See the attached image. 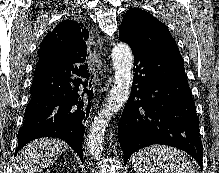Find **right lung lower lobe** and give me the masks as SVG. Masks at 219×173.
Returning <instances> with one entry per match:
<instances>
[{"label": "right lung lower lobe", "mask_w": 219, "mask_h": 173, "mask_svg": "<svg viewBox=\"0 0 219 173\" xmlns=\"http://www.w3.org/2000/svg\"><path fill=\"white\" fill-rule=\"evenodd\" d=\"M84 61L71 57L37 62L15 154L34 139L56 137L65 140L83 161L82 140L93 98L92 75L86 64L79 68L73 64ZM71 73L80 78L71 79Z\"/></svg>", "instance_id": "obj_1"}]
</instances>
